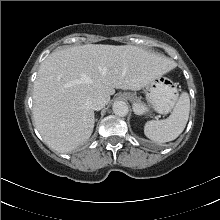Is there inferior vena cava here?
<instances>
[{
	"label": "inferior vena cava",
	"instance_id": "1",
	"mask_svg": "<svg viewBox=\"0 0 220 220\" xmlns=\"http://www.w3.org/2000/svg\"><path fill=\"white\" fill-rule=\"evenodd\" d=\"M87 103L93 110H100L107 104L106 98L100 93H94L91 95L88 98Z\"/></svg>",
	"mask_w": 220,
	"mask_h": 220
}]
</instances>
